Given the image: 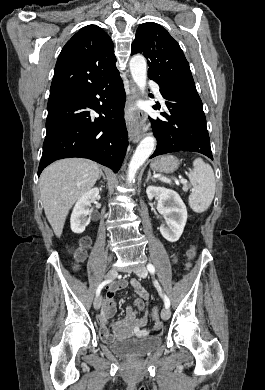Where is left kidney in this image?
Returning <instances> with one entry per match:
<instances>
[{"label": "left kidney", "mask_w": 265, "mask_h": 390, "mask_svg": "<svg viewBox=\"0 0 265 390\" xmlns=\"http://www.w3.org/2000/svg\"><path fill=\"white\" fill-rule=\"evenodd\" d=\"M146 193L150 200L158 198L157 210L165 216L166 224L160 226L162 236L169 242L178 241L187 221V209L179 194L157 186H148Z\"/></svg>", "instance_id": "left-kidney-1"}]
</instances>
